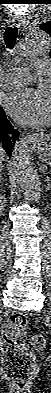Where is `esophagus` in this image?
<instances>
[{"label": "esophagus", "mask_w": 51, "mask_h": 393, "mask_svg": "<svg viewBox=\"0 0 51 393\" xmlns=\"http://www.w3.org/2000/svg\"><path fill=\"white\" fill-rule=\"evenodd\" d=\"M13 25L16 26V27H18V28L20 27V23L15 22V21H13Z\"/></svg>", "instance_id": "obj_1"}]
</instances>
